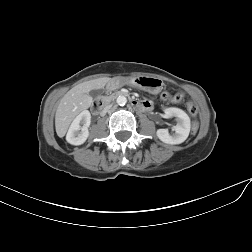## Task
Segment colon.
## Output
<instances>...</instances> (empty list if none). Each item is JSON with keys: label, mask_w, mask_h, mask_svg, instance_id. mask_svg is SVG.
I'll list each match as a JSON object with an SVG mask.
<instances>
[{"label": "colon", "mask_w": 252, "mask_h": 252, "mask_svg": "<svg viewBox=\"0 0 252 252\" xmlns=\"http://www.w3.org/2000/svg\"><path fill=\"white\" fill-rule=\"evenodd\" d=\"M161 97H162V99H164L166 101L174 102V103H178V102L182 101V99H183V95L181 93L171 95L168 92H164V93H162ZM186 108H187L188 113L192 116H195L198 112V107L192 102H187ZM197 127H198V124L196 121H194L192 123V132L193 133H195L197 131Z\"/></svg>", "instance_id": "1"}]
</instances>
